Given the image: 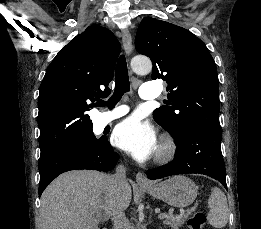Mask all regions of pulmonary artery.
Instances as JSON below:
<instances>
[{
	"label": "pulmonary artery",
	"mask_w": 261,
	"mask_h": 229,
	"mask_svg": "<svg viewBox=\"0 0 261 229\" xmlns=\"http://www.w3.org/2000/svg\"><path fill=\"white\" fill-rule=\"evenodd\" d=\"M158 84H146L141 85L139 90V96L142 99H153L158 97L161 94V91L156 92L155 89H158ZM128 113V108L118 106L112 111L105 112V118L108 122L117 120Z\"/></svg>",
	"instance_id": "e3ab8cb5"
}]
</instances>
